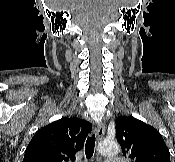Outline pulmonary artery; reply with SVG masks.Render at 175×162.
I'll return each instance as SVG.
<instances>
[{"mask_svg": "<svg viewBox=\"0 0 175 162\" xmlns=\"http://www.w3.org/2000/svg\"><path fill=\"white\" fill-rule=\"evenodd\" d=\"M105 162H123V161L118 158H109L105 160Z\"/></svg>", "mask_w": 175, "mask_h": 162, "instance_id": "e3ab8cb5", "label": "pulmonary artery"}]
</instances>
